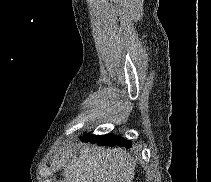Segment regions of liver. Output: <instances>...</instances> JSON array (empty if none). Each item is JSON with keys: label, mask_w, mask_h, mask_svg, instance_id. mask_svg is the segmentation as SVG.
Segmentation results:
<instances>
[{"label": "liver", "mask_w": 211, "mask_h": 182, "mask_svg": "<svg viewBox=\"0 0 211 182\" xmlns=\"http://www.w3.org/2000/svg\"><path fill=\"white\" fill-rule=\"evenodd\" d=\"M63 168L64 182H132L135 161L120 148L76 144Z\"/></svg>", "instance_id": "obj_1"}]
</instances>
